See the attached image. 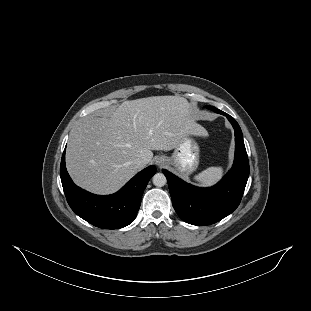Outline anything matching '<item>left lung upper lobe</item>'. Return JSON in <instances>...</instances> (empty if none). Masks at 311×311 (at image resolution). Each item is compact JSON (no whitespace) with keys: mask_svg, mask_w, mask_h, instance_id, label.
<instances>
[{"mask_svg":"<svg viewBox=\"0 0 311 311\" xmlns=\"http://www.w3.org/2000/svg\"><path fill=\"white\" fill-rule=\"evenodd\" d=\"M206 108L210 109V110H213L214 112L216 113H220L221 111L218 110L217 108L213 107V106H206Z\"/></svg>","mask_w":311,"mask_h":311,"instance_id":"5c2ea615","label":"left lung upper lobe"}]
</instances>
